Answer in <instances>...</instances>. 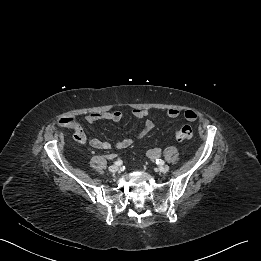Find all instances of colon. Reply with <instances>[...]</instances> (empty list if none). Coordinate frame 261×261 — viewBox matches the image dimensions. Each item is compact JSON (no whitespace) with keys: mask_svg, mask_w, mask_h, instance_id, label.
<instances>
[{"mask_svg":"<svg viewBox=\"0 0 261 261\" xmlns=\"http://www.w3.org/2000/svg\"><path fill=\"white\" fill-rule=\"evenodd\" d=\"M71 122H72V118H69V117H64V118L60 119V123L65 124V125H68ZM175 137L179 141L191 140L193 137V130H192L191 126L185 125V126L181 127L180 129H178L175 133Z\"/></svg>","mask_w":261,"mask_h":261,"instance_id":"5ec220e1","label":"colon"}]
</instances>
